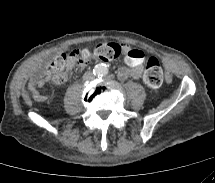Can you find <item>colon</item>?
Instances as JSON below:
<instances>
[{
    "instance_id": "5ec220e1",
    "label": "colon",
    "mask_w": 215,
    "mask_h": 183,
    "mask_svg": "<svg viewBox=\"0 0 215 183\" xmlns=\"http://www.w3.org/2000/svg\"><path fill=\"white\" fill-rule=\"evenodd\" d=\"M123 52L121 45L116 43L101 42L93 51L83 49L75 50L71 54L61 52L57 54L48 66L49 72L54 76L66 74L71 59L78 64H86L93 60L110 62L118 58ZM144 80L151 88H158L163 81V73L159 60L155 56H148L145 61Z\"/></svg>"
}]
</instances>
